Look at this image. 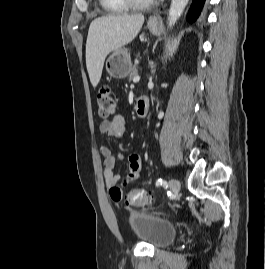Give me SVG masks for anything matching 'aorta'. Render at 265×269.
<instances>
[{
    "label": "aorta",
    "mask_w": 265,
    "mask_h": 269,
    "mask_svg": "<svg viewBox=\"0 0 265 269\" xmlns=\"http://www.w3.org/2000/svg\"><path fill=\"white\" fill-rule=\"evenodd\" d=\"M188 1L189 0H172L167 19V24L169 28H172L177 22V20L180 18Z\"/></svg>",
    "instance_id": "1"
}]
</instances>
